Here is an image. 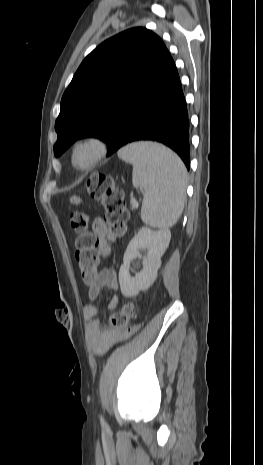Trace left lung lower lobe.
<instances>
[{"label": "left lung lower lobe", "mask_w": 263, "mask_h": 465, "mask_svg": "<svg viewBox=\"0 0 263 465\" xmlns=\"http://www.w3.org/2000/svg\"><path fill=\"white\" fill-rule=\"evenodd\" d=\"M139 140L163 143L189 169V119L179 75L167 49L138 81L132 102L121 114L107 156Z\"/></svg>", "instance_id": "left-lung-lower-lobe-1"}]
</instances>
